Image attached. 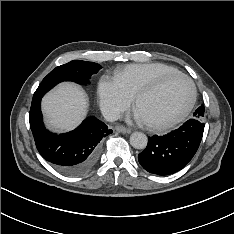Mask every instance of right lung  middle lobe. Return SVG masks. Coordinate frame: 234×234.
Listing matches in <instances>:
<instances>
[{
  "label": "right lung middle lobe",
  "mask_w": 234,
  "mask_h": 234,
  "mask_svg": "<svg viewBox=\"0 0 234 234\" xmlns=\"http://www.w3.org/2000/svg\"><path fill=\"white\" fill-rule=\"evenodd\" d=\"M102 67L94 62L73 60L53 69L41 82L33 95V100L42 98L46 92L63 81H73L86 85L92 74L97 73Z\"/></svg>",
  "instance_id": "obj_1"
}]
</instances>
